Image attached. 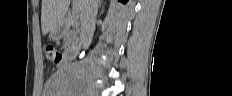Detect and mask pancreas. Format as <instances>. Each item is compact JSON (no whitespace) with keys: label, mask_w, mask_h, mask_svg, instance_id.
I'll use <instances>...</instances> for the list:
<instances>
[{"label":"pancreas","mask_w":232,"mask_h":96,"mask_svg":"<svg viewBox=\"0 0 232 96\" xmlns=\"http://www.w3.org/2000/svg\"><path fill=\"white\" fill-rule=\"evenodd\" d=\"M72 27V29H71ZM77 22L74 18H68L66 20L64 28V46L67 50L74 49L77 47L78 38H77Z\"/></svg>","instance_id":"obj_1"}]
</instances>
